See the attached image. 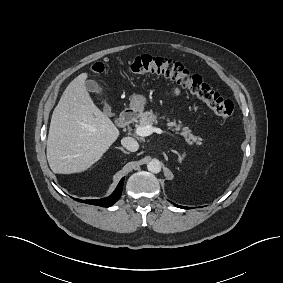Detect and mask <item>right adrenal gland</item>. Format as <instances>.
Returning a JSON list of instances; mask_svg holds the SVG:
<instances>
[{
    "instance_id": "right-adrenal-gland-1",
    "label": "right adrenal gland",
    "mask_w": 283,
    "mask_h": 283,
    "mask_svg": "<svg viewBox=\"0 0 283 283\" xmlns=\"http://www.w3.org/2000/svg\"><path fill=\"white\" fill-rule=\"evenodd\" d=\"M117 149L121 150L125 154H129L123 147H116Z\"/></svg>"
}]
</instances>
